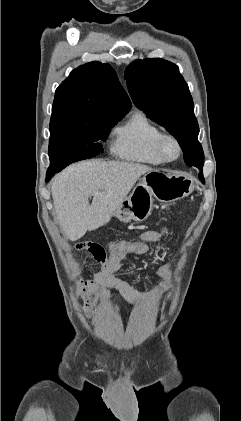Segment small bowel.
Segmentation results:
<instances>
[{"mask_svg":"<svg viewBox=\"0 0 241 421\" xmlns=\"http://www.w3.org/2000/svg\"><path fill=\"white\" fill-rule=\"evenodd\" d=\"M171 231V228L164 227L160 230H150L141 235L140 242L151 244L159 242L166 234ZM125 259V255L110 254L108 260L103 263L100 271L96 274L93 282H78L76 285L75 296H85L89 301L91 296L100 302H105L110 299L111 293L109 287H114L119 290L124 297L130 302L151 301L158 298L169 286L167 279V269H161L159 275L165 277V281L158 284L153 289L139 293L135 291L125 280L115 277L113 274L121 267V263ZM116 312L120 313V307L114 305Z\"/></svg>","mask_w":241,"mask_h":421,"instance_id":"obj_1","label":"small bowel"}]
</instances>
